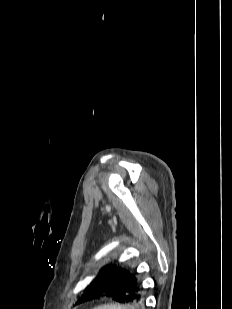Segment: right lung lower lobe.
<instances>
[{
	"label": "right lung lower lobe",
	"mask_w": 232,
	"mask_h": 309,
	"mask_svg": "<svg viewBox=\"0 0 232 309\" xmlns=\"http://www.w3.org/2000/svg\"><path fill=\"white\" fill-rule=\"evenodd\" d=\"M117 272L130 273L125 269H117ZM132 275L133 277L118 279L111 285L91 289L87 293V300L107 296L112 297L117 302L130 304L135 309H143V289L135 275Z\"/></svg>",
	"instance_id": "98d812e1"
}]
</instances>
